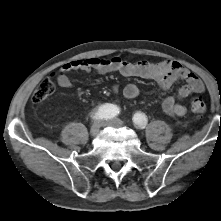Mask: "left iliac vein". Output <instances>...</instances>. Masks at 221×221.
I'll return each instance as SVG.
<instances>
[{
	"label": "left iliac vein",
	"instance_id": "1",
	"mask_svg": "<svg viewBox=\"0 0 221 221\" xmlns=\"http://www.w3.org/2000/svg\"><path fill=\"white\" fill-rule=\"evenodd\" d=\"M103 125L119 128V127H122L124 125V123H123L122 120H120L118 118H114V119H111V120H108V121L104 122Z\"/></svg>",
	"mask_w": 221,
	"mask_h": 221
}]
</instances>
